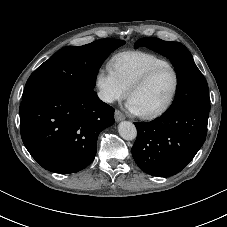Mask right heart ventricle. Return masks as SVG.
I'll use <instances>...</instances> for the list:
<instances>
[{
  "label": "right heart ventricle",
  "mask_w": 227,
  "mask_h": 227,
  "mask_svg": "<svg viewBox=\"0 0 227 227\" xmlns=\"http://www.w3.org/2000/svg\"><path fill=\"white\" fill-rule=\"evenodd\" d=\"M168 64L154 54L129 51L116 55L112 60V68L126 89L150 69Z\"/></svg>",
  "instance_id": "obj_1"
}]
</instances>
